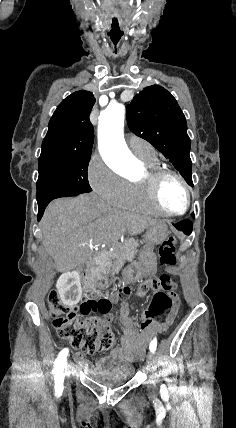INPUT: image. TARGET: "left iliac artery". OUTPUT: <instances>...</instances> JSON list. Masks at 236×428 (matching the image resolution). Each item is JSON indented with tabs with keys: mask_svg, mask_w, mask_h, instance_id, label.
I'll use <instances>...</instances> for the list:
<instances>
[{
	"mask_svg": "<svg viewBox=\"0 0 236 428\" xmlns=\"http://www.w3.org/2000/svg\"><path fill=\"white\" fill-rule=\"evenodd\" d=\"M156 347H157V339L154 338L149 345V349L150 351L154 354V352L156 351Z\"/></svg>",
	"mask_w": 236,
	"mask_h": 428,
	"instance_id": "left-iliac-artery-1",
	"label": "left iliac artery"
}]
</instances>
